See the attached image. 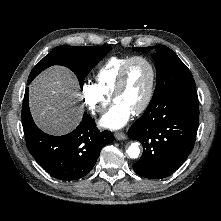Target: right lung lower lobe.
<instances>
[{
    "mask_svg": "<svg viewBox=\"0 0 221 221\" xmlns=\"http://www.w3.org/2000/svg\"><path fill=\"white\" fill-rule=\"evenodd\" d=\"M22 124L29 152L46 172L61 180H77L87 175L101 149L114 140L110 131H99L86 113L71 133L58 137L45 134L30 114L28 89L23 100Z\"/></svg>",
    "mask_w": 221,
    "mask_h": 221,
    "instance_id": "obj_1",
    "label": "right lung lower lobe"
}]
</instances>
